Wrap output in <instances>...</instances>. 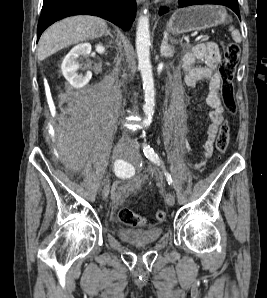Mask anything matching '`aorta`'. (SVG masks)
Returning a JSON list of instances; mask_svg holds the SVG:
<instances>
[{"label":"aorta","instance_id":"1","mask_svg":"<svg viewBox=\"0 0 267 298\" xmlns=\"http://www.w3.org/2000/svg\"><path fill=\"white\" fill-rule=\"evenodd\" d=\"M149 48V17L147 15H141L138 19L136 32V52L138 57V68L142 76L145 97V104L143 106L145 113V119L143 120L144 127H148L151 124L155 105L154 80L150 62Z\"/></svg>","mask_w":267,"mask_h":298}]
</instances>
